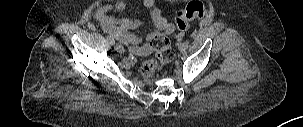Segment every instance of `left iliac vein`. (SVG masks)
Masks as SVG:
<instances>
[{"mask_svg":"<svg viewBox=\"0 0 303 127\" xmlns=\"http://www.w3.org/2000/svg\"><path fill=\"white\" fill-rule=\"evenodd\" d=\"M179 51H180L181 54H185L186 47L184 45V42L179 44Z\"/></svg>","mask_w":303,"mask_h":127,"instance_id":"1","label":"left iliac vein"}]
</instances>
